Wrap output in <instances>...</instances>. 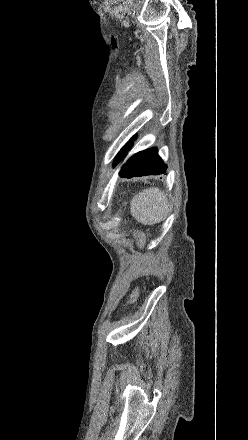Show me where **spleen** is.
Returning a JSON list of instances; mask_svg holds the SVG:
<instances>
[{
  "mask_svg": "<svg viewBox=\"0 0 248 440\" xmlns=\"http://www.w3.org/2000/svg\"><path fill=\"white\" fill-rule=\"evenodd\" d=\"M168 213V200L164 192L157 187L145 189L132 198L131 214L144 225L160 223Z\"/></svg>",
  "mask_w": 248,
  "mask_h": 440,
  "instance_id": "1",
  "label": "spleen"
}]
</instances>
